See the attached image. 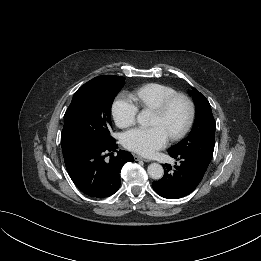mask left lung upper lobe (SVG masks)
Wrapping results in <instances>:
<instances>
[{
	"instance_id": "obj_1",
	"label": "left lung upper lobe",
	"mask_w": 261,
	"mask_h": 261,
	"mask_svg": "<svg viewBox=\"0 0 261 261\" xmlns=\"http://www.w3.org/2000/svg\"><path fill=\"white\" fill-rule=\"evenodd\" d=\"M196 106L194 126L188 137L168 149L169 154H185L199 160L208 167L213 151L215 139V121L211 106L203 94L191 91Z\"/></svg>"
}]
</instances>
